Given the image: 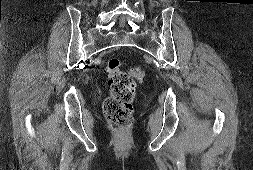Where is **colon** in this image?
<instances>
[{"label":"colon","mask_w":253,"mask_h":170,"mask_svg":"<svg viewBox=\"0 0 253 170\" xmlns=\"http://www.w3.org/2000/svg\"><path fill=\"white\" fill-rule=\"evenodd\" d=\"M144 71L132 68L121 69L117 58L110 59L107 65V84L110 95L104 102L105 117L110 126L118 133H124L132 122V103L135 97L136 79H142Z\"/></svg>","instance_id":"obj_1"}]
</instances>
